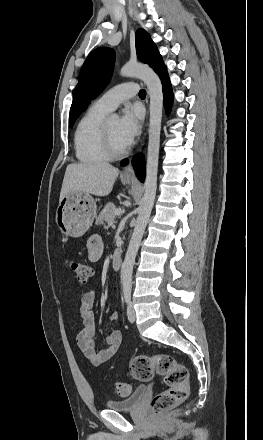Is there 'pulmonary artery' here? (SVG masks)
I'll use <instances>...</instances> for the list:
<instances>
[{"instance_id":"e3ab8cb5","label":"pulmonary artery","mask_w":263,"mask_h":440,"mask_svg":"<svg viewBox=\"0 0 263 440\" xmlns=\"http://www.w3.org/2000/svg\"><path fill=\"white\" fill-rule=\"evenodd\" d=\"M138 92L139 85L137 83H122L106 91L95 103L108 111H113L120 103L132 98Z\"/></svg>"}]
</instances>
